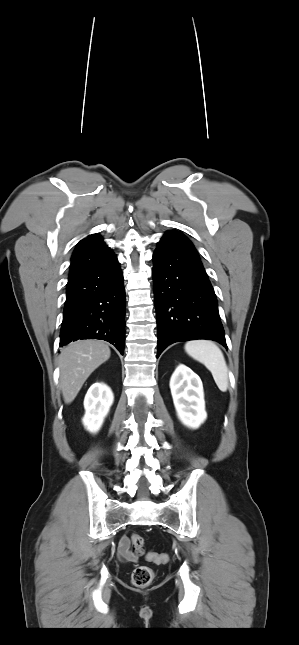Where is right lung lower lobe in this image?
<instances>
[{
    "label": "right lung lower lobe",
    "instance_id": "1",
    "mask_svg": "<svg viewBox=\"0 0 299 645\" xmlns=\"http://www.w3.org/2000/svg\"><path fill=\"white\" fill-rule=\"evenodd\" d=\"M60 346L78 339H102L123 355L125 289L117 257L89 265L69 276Z\"/></svg>",
    "mask_w": 299,
    "mask_h": 645
}]
</instances>
